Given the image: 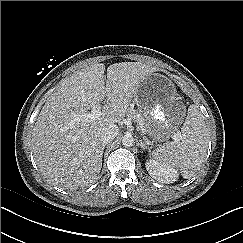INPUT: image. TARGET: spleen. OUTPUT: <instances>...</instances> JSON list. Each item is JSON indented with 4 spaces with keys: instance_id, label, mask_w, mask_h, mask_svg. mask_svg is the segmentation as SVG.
I'll return each mask as SVG.
<instances>
[{
    "instance_id": "1",
    "label": "spleen",
    "mask_w": 243,
    "mask_h": 243,
    "mask_svg": "<svg viewBox=\"0 0 243 243\" xmlns=\"http://www.w3.org/2000/svg\"><path fill=\"white\" fill-rule=\"evenodd\" d=\"M173 139L157 148L151 158L160 165L179 169L189 179L200 168L208 148L205 121L197 105L189 106L181 132Z\"/></svg>"
}]
</instances>
